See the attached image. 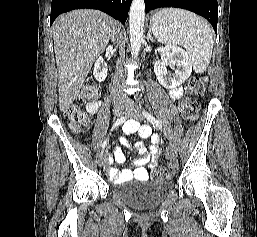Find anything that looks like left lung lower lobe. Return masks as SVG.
<instances>
[{
    "mask_svg": "<svg viewBox=\"0 0 257 237\" xmlns=\"http://www.w3.org/2000/svg\"><path fill=\"white\" fill-rule=\"evenodd\" d=\"M146 13L161 7L182 8L205 17L217 33L218 3L217 0H144Z\"/></svg>",
    "mask_w": 257,
    "mask_h": 237,
    "instance_id": "left-lung-lower-lobe-1",
    "label": "left lung lower lobe"
}]
</instances>
